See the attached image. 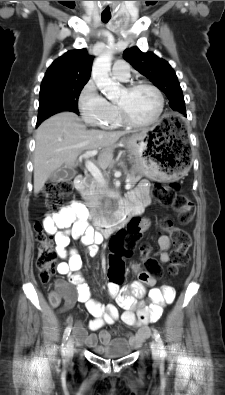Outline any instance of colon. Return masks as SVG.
I'll return each mask as SVG.
<instances>
[{
  "instance_id": "colon-1",
  "label": "colon",
  "mask_w": 225,
  "mask_h": 395,
  "mask_svg": "<svg viewBox=\"0 0 225 395\" xmlns=\"http://www.w3.org/2000/svg\"><path fill=\"white\" fill-rule=\"evenodd\" d=\"M71 192L72 184L69 180L52 182L44 188V199L51 207H57L61 200ZM153 195L159 204L174 209L179 222L188 224L192 221L195 213L194 205L185 195L180 194L178 183H157L154 186ZM139 222H143V215H132V223H126L127 234H125V228H118V234H113L112 238L109 239L108 251H112L116 255L133 256V249H123L122 245H133L134 241H141L142 228ZM35 229L38 245L36 258L38 276L42 283H48L55 273L57 255L50 235L43 230L40 224H36ZM160 229L167 232L172 239L173 251L169 271L171 274H176L188 262V250L191 246L190 234L185 229L174 226L169 219L162 220ZM139 254L149 267L154 266L153 256L148 245H144L140 249ZM112 260L111 265L108 267L109 283L113 288H122L123 282L121 279L125 277L126 265H124L123 260H118L117 256H113ZM148 273L149 275H157L156 279L160 280V275H163L164 270L163 268H149ZM73 295L74 293L70 287L60 284V292H53L49 300L53 306H58L62 297L66 299Z\"/></svg>"
}]
</instances>
